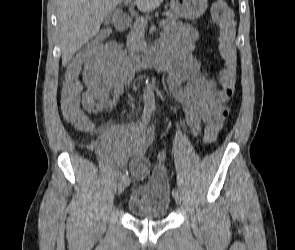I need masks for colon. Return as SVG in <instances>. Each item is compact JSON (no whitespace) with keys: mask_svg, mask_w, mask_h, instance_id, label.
Masks as SVG:
<instances>
[{"mask_svg":"<svg viewBox=\"0 0 295 250\" xmlns=\"http://www.w3.org/2000/svg\"><path fill=\"white\" fill-rule=\"evenodd\" d=\"M212 16L218 25V48L224 62L221 71L220 84L227 97H231L236 82L237 51L235 47V22L233 14L225 2H215L212 6ZM108 32L101 31L83 50L90 53H99L107 39ZM82 85L75 77H66L61 90V109L65 119L75 128L88 131L93 124L86 112L89 111L81 101ZM222 128V123L216 122L206 126L204 141L212 143L216 140Z\"/></svg>","mask_w":295,"mask_h":250,"instance_id":"1","label":"colon"}]
</instances>
